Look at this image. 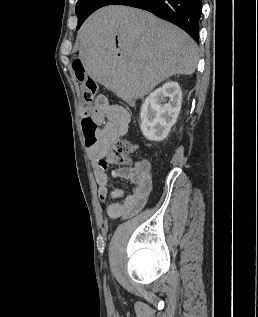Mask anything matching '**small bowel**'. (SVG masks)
I'll list each match as a JSON object with an SVG mask.
<instances>
[{
    "label": "small bowel",
    "instance_id": "obj_1",
    "mask_svg": "<svg viewBox=\"0 0 258 317\" xmlns=\"http://www.w3.org/2000/svg\"><path fill=\"white\" fill-rule=\"evenodd\" d=\"M91 110L101 116L104 125L101 142L88 149L89 157L93 161L98 196L101 201L108 197L114 200L106 208L109 218L132 217L145 206L152 193V164L147 159L129 161L127 164H120L121 166L109 175L108 166L115 163L109 156L110 147L127 133L131 115L124 107L110 104L104 96L96 98ZM111 177L128 180L131 183L130 190L126 192L121 188L111 189Z\"/></svg>",
    "mask_w": 258,
    "mask_h": 317
}]
</instances>
